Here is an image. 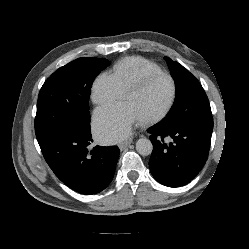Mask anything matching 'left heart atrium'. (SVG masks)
Wrapping results in <instances>:
<instances>
[{
  "instance_id": "obj_1",
  "label": "left heart atrium",
  "mask_w": 249,
  "mask_h": 249,
  "mask_svg": "<svg viewBox=\"0 0 249 249\" xmlns=\"http://www.w3.org/2000/svg\"><path fill=\"white\" fill-rule=\"evenodd\" d=\"M141 118L126 102L114 103L95 112L94 132L99 140L118 142L128 137Z\"/></svg>"
}]
</instances>
